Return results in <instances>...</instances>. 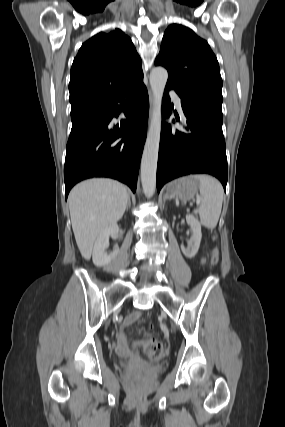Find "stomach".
Wrapping results in <instances>:
<instances>
[{"mask_svg":"<svg viewBox=\"0 0 285 427\" xmlns=\"http://www.w3.org/2000/svg\"><path fill=\"white\" fill-rule=\"evenodd\" d=\"M199 188L198 181L191 177H184L170 182L167 185V194L172 198L187 201L197 194Z\"/></svg>","mask_w":285,"mask_h":427,"instance_id":"0dacf381","label":"stomach"}]
</instances>
